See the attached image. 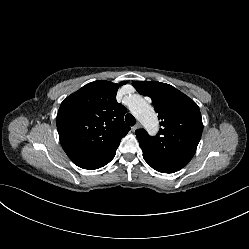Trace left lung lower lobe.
<instances>
[{
  "instance_id": "1",
  "label": "left lung lower lobe",
  "mask_w": 249,
  "mask_h": 249,
  "mask_svg": "<svg viewBox=\"0 0 249 249\" xmlns=\"http://www.w3.org/2000/svg\"><path fill=\"white\" fill-rule=\"evenodd\" d=\"M153 169L162 173H174L182 169L179 166L162 164L154 161L145 160Z\"/></svg>"
}]
</instances>
